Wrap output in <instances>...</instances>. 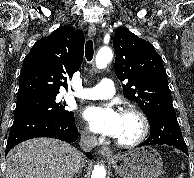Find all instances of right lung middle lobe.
<instances>
[{
    "instance_id": "1",
    "label": "right lung middle lobe",
    "mask_w": 194,
    "mask_h": 178,
    "mask_svg": "<svg viewBox=\"0 0 194 178\" xmlns=\"http://www.w3.org/2000/svg\"><path fill=\"white\" fill-rule=\"evenodd\" d=\"M64 104L65 103L57 102L56 96L33 98L18 101L14 114L22 112H45L57 117L72 114V112L64 109Z\"/></svg>"
}]
</instances>
